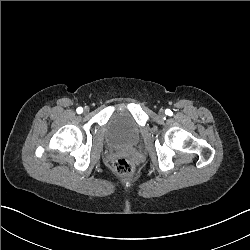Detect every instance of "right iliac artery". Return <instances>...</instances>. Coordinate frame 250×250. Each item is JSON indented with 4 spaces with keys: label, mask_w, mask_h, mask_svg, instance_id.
Instances as JSON below:
<instances>
[{
    "label": "right iliac artery",
    "mask_w": 250,
    "mask_h": 250,
    "mask_svg": "<svg viewBox=\"0 0 250 250\" xmlns=\"http://www.w3.org/2000/svg\"><path fill=\"white\" fill-rule=\"evenodd\" d=\"M76 111H77L78 114H81L83 112V108L82 107H78L76 109Z\"/></svg>",
    "instance_id": "1"
}]
</instances>
